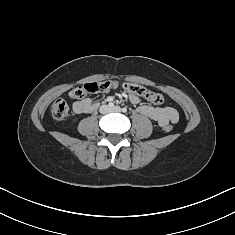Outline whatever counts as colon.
Returning <instances> with one entry per match:
<instances>
[{"label": "colon", "mask_w": 235, "mask_h": 235, "mask_svg": "<svg viewBox=\"0 0 235 235\" xmlns=\"http://www.w3.org/2000/svg\"><path fill=\"white\" fill-rule=\"evenodd\" d=\"M121 87L125 92L140 96L148 100L149 102L160 105L164 102L162 94L149 90L148 88L135 84V83H122L119 84L115 80H102L92 81L85 83L84 85L77 86L71 90L70 96L74 99H82L88 94L106 92L111 89ZM69 114V106L67 102L60 98L57 99L51 107V115L56 120H62ZM172 126L166 125L164 127L165 132H171Z\"/></svg>", "instance_id": "colon-1"}]
</instances>
